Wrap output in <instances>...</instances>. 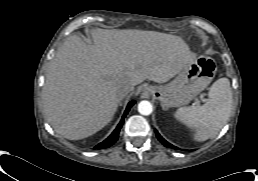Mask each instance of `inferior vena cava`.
I'll return each instance as SVG.
<instances>
[{
	"label": "inferior vena cava",
	"instance_id": "602c4592",
	"mask_svg": "<svg viewBox=\"0 0 258 181\" xmlns=\"http://www.w3.org/2000/svg\"><path fill=\"white\" fill-rule=\"evenodd\" d=\"M133 90V87L125 86L119 91V99L121 100L123 97L128 95Z\"/></svg>",
	"mask_w": 258,
	"mask_h": 181
}]
</instances>
